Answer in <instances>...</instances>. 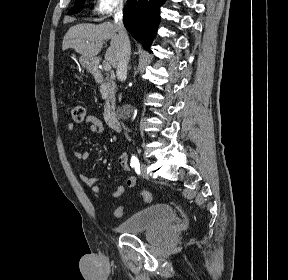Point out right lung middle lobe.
I'll return each instance as SVG.
<instances>
[{
    "label": "right lung middle lobe",
    "mask_w": 288,
    "mask_h": 280,
    "mask_svg": "<svg viewBox=\"0 0 288 280\" xmlns=\"http://www.w3.org/2000/svg\"><path fill=\"white\" fill-rule=\"evenodd\" d=\"M84 1L85 0H77L75 6L71 10H69L68 14H74L80 12L84 6Z\"/></svg>",
    "instance_id": "obj_1"
}]
</instances>
